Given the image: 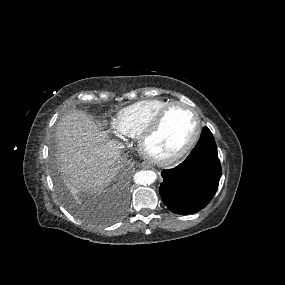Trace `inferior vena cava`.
<instances>
[{
	"instance_id": "obj_1",
	"label": "inferior vena cava",
	"mask_w": 285,
	"mask_h": 285,
	"mask_svg": "<svg viewBox=\"0 0 285 285\" xmlns=\"http://www.w3.org/2000/svg\"><path fill=\"white\" fill-rule=\"evenodd\" d=\"M109 149V155L113 160H118L120 157V151L124 149V144L122 142L111 140L107 143Z\"/></svg>"
}]
</instances>
